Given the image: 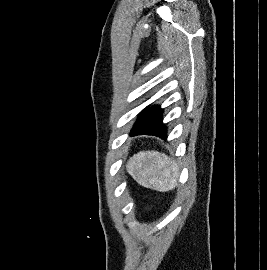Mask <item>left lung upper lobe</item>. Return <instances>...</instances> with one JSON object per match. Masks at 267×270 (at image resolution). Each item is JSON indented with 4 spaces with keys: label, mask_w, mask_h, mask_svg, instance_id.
<instances>
[{
    "label": "left lung upper lobe",
    "mask_w": 267,
    "mask_h": 270,
    "mask_svg": "<svg viewBox=\"0 0 267 270\" xmlns=\"http://www.w3.org/2000/svg\"><path fill=\"white\" fill-rule=\"evenodd\" d=\"M149 107V106H148ZM148 107L147 108H145L142 112H141V114H140V116H139V118L145 113V111L148 109ZM138 118V119H139Z\"/></svg>",
    "instance_id": "left-lung-upper-lobe-1"
}]
</instances>
